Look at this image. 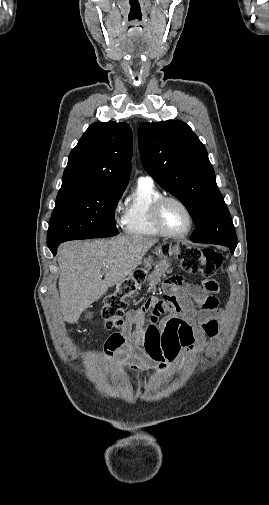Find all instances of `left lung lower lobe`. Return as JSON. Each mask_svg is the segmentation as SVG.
Instances as JSON below:
<instances>
[{"label":"left lung lower lobe","instance_id":"1","mask_svg":"<svg viewBox=\"0 0 269 505\" xmlns=\"http://www.w3.org/2000/svg\"><path fill=\"white\" fill-rule=\"evenodd\" d=\"M193 242H194V241H193ZM198 243H200V242H198ZM224 246L229 247V248H230L231 253H233V252H234V250H235V248H236V246H233V245H224Z\"/></svg>","mask_w":269,"mask_h":505}]
</instances>
